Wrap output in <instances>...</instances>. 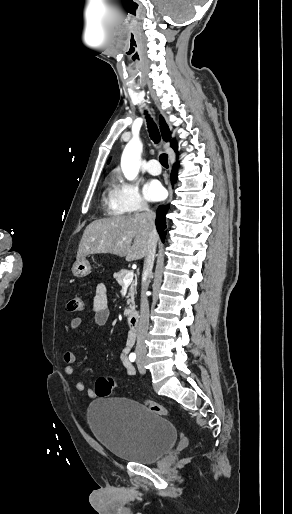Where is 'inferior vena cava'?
<instances>
[{"label":"inferior vena cava","mask_w":292,"mask_h":514,"mask_svg":"<svg viewBox=\"0 0 292 514\" xmlns=\"http://www.w3.org/2000/svg\"><path fill=\"white\" fill-rule=\"evenodd\" d=\"M147 212V236H148V246L147 252L144 260V268H143V276H145V280L142 282L141 288V310H140V320L137 332V344H136V354L140 356V354H146L145 348V338L148 332L149 326V304L147 300V290L150 284V276L153 270V264L155 260L156 254V246H157V232L155 228V214L154 212H150V210H146Z\"/></svg>","instance_id":"602c4592"}]
</instances>
